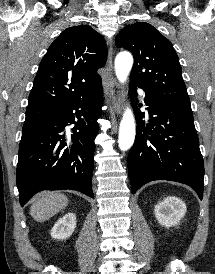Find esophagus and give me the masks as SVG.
I'll list each match as a JSON object with an SVG mask.
<instances>
[{
  "label": "esophagus",
  "instance_id": "34e87169",
  "mask_svg": "<svg viewBox=\"0 0 215 274\" xmlns=\"http://www.w3.org/2000/svg\"><path fill=\"white\" fill-rule=\"evenodd\" d=\"M112 54H113L112 47H110L108 59L106 63V71H107V77H108V93H109V98L107 99V103L114 108L117 114H120L123 108L124 95H123L122 86L113 75Z\"/></svg>",
  "mask_w": 215,
  "mask_h": 274
}]
</instances>
